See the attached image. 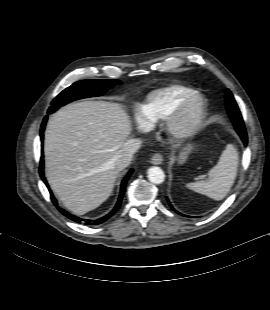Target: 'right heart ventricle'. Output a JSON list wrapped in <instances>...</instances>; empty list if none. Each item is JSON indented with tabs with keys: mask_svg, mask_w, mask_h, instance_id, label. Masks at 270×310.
<instances>
[{
	"mask_svg": "<svg viewBox=\"0 0 270 310\" xmlns=\"http://www.w3.org/2000/svg\"><path fill=\"white\" fill-rule=\"evenodd\" d=\"M193 89L173 83L149 92L139 106V119L145 127H154L164 122L176 103Z\"/></svg>",
	"mask_w": 270,
	"mask_h": 310,
	"instance_id": "1",
	"label": "right heart ventricle"
}]
</instances>
